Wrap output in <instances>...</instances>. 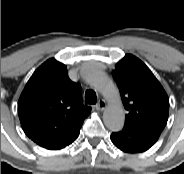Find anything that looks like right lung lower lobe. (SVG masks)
<instances>
[{
	"label": "right lung lower lobe",
	"instance_id": "obj_1",
	"mask_svg": "<svg viewBox=\"0 0 184 174\" xmlns=\"http://www.w3.org/2000/svg\"><path fill=\"white\" fill-rule=\"evenodd\" d=\"M81 126H82V124L80 126L76 127L74 130H72L69 133L68 136H66L62 140L56 142L55 144L51 145L47 149H50V150H58V149L65 148L66 146H68L69 144H71L79 136V132H80Z\"/></svg>",
	"mask_w": 184,
	"mask_h": 174
}]
</instances>
